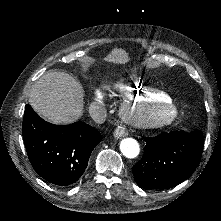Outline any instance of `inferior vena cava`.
Here are the masks:
<instances>
[{
	"label": "inferior vena cava",
	"instance_id": "inferior-vena-cava-1",
	"mask_svg": "<svg viewBox=\"0 0 221 221\" xmlns=\"http://www.w3.org/2000/svg\"><path fill=\"white\" fill-rule=\"evenodd\" d=\"M97 120L99 123H104L107 119V111L106 108L102 105H98V110H97Z\"/></svg>",
	"mask_w": 221,
	"mask_h": 221
}]
</instances>
